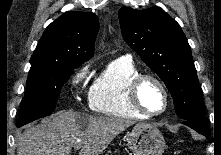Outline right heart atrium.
Returning <instances> with one entry per match:
<instances>
[{
    "label": "right heart atrium",
    "mask_w": 221,
    "mask_h": 155,
    "mask_svg": "<svg viewBox=\"0 0 221 155\" xmlns=\"http://www.w3.org/2000/svg\"><path fill=\"white\" fill-rule=\"evenodd\" d=\"M89 71V66L88 65H84L81 68H79L73 75L72 79H71V84L76 87L77 85H79L80 83H82Z\"/></svg>",
    "instance_id": "obj_1"
}]
</instances>
